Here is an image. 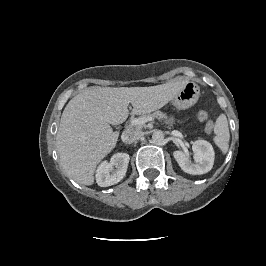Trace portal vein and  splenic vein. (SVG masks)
<instances>
[{
  "mask_svg": "<svg viewBox=\"0 0 266 266\" xmlns=\"http://www.w3.org/2000/svg\"><path fill=\"white\" fill-rule=\"evenodd\" d=\"M153 117H146V118H136L131 121L132 125L134 126H143L146 122L152 121Z\"/></svg>",
  "mask_w": 266,
  "mask_h": 266,
  "instance_id": "obj_1",
  "label": "portal vein and splenic vein"
}]
</instances>
